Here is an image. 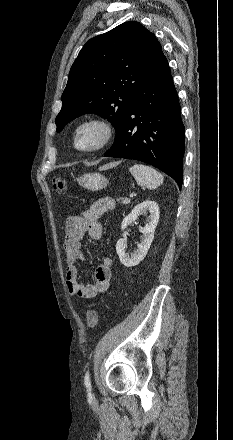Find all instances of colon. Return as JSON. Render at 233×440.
Masks as SVG:
<instances>
[{
    "mask_svg": "<svg viewBox=\"0 0 233 440\" xmlns=\"http://www.w3.org/2000/svg\"><path fill=\"white\" fill-rule=\"evenodd\" d=\"M51 184H52V188L58 193H64L66 190V180L61 175L54 176L51 181ZM98 320H99L98 312L94 309L89 310L86 316L87 325L89 327H94L96 326Z\"/></svg>",
    "mask_w": 233,
    "mask_h": 440,
    "instance_id": "obj_1",
    "label": "colon"
}]
</instances>
